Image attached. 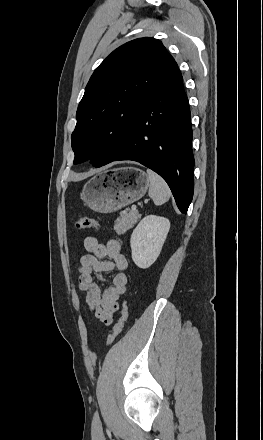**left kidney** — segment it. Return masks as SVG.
<instances>
[{"label": "left kidney", "instance_id": "1", "mask_svg": "<svg viewBox=\"0 0 263 440\" xmlns=\"http://www.w3.org/2000/svg\"><path fill=\"white\" fill-rule=\"evenodd\" d=\"M170 229V221L156 215L145 216L131 235L132 260L142 269L158 258Z\"/></svg>", "mask_w": 263, "mask_h": 440}]
</instances>
